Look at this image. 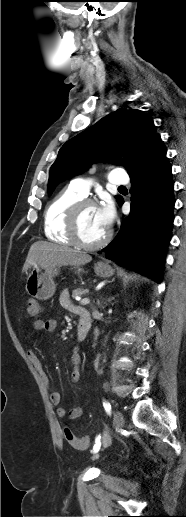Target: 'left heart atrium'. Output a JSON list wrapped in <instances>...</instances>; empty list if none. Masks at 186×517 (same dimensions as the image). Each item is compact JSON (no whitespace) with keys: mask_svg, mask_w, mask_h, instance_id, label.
<instances>
[{"mask_svg":"<svg viewBox=\"0 0 186 517\" xmlns=\"http://www.w3.org/2000/svg\"><path fill=\"white\" fill-rule=\"evenodd\" d=\"M97 211H98V217H99L102 225L104 227L108 228L112 224L113 219H114V214H115L112 202L108 199L105 200L102 203V205L97 207Z\"/></svg>","mask_w":186,"mask_h":517,"instance_id":"left-heart-atrium-1","label":"left heart atrium"}]
</instances>
